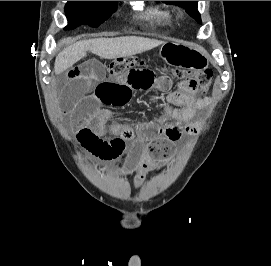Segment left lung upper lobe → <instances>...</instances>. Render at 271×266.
<instances>
[{
    "instance_id": "left-lung-upper-lobe-1",
    "label": "left lung upper lobe",
    "mask_w": 271,
    "mask_h": 266,
    "mask_svg": "<svg viewBox=\"0 0 271 266\" xmlns=\"http://www.w3.org/2000/svg\"><path fill=\"white\" fill-rule=\"evenodd\" d=\"M163 2L172 3V4H176V5L183 7L186 10V12L191 17H193L198 23H202L201 18H200V14L197 10V2L198 1H163Z\"/></svg>"
}]
</instances>
